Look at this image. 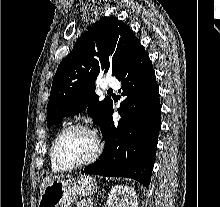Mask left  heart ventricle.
I'll return each instance as SVG.
<instances>
[{
  "mask_svg": "<svg viewBox=\"0 0 220 207\" xmlns=\"http://www.w3.org/2000/svg\"><path fill=\"white\" fill-rule=\"evenodd\" d=\"M94 149V139L82 130H72L65 133L57 146L58 156L65 164H74L87 159Z\"/></svg>",
  "mask_w": 220,
  "mask_h": 207,
  "instance_id": "1",
  "label": "left heart ventricle"
}]
</instances>
